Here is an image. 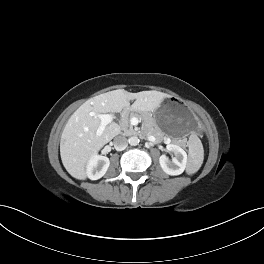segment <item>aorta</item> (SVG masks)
<instances>
[{
	"label": "aorta",
	"instance_id": "aorta-1",
	"mask_svg": "<svg viewBox=\"0 0 264 264\" xmlns=\"http://www.w3.org/2000/svg\"><path fill=\"white\" fill-rule=\"evenodd\" d=\"M128 142L131 146H136L139 144V138L137 136H131L129 139H128Z\"/></svg>",
	"mask_w": 264,
	"mask_h": 264
}]
</instances>
